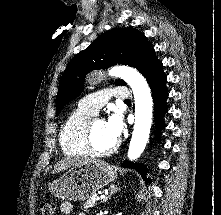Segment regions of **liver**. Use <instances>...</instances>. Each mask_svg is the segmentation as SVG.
<instances>
[{
    "label": "liver",
    "mask_w": 221,
    "mask_h": 215,
    "mask_svg": "<svg viewBox=\"0 0 221 215\" xmlns=\"http://www.w3.org/2000/svg\"><path fill=\"white\" fill-rule=\"evenodd\" d=\"M91 160L92 159H89V158H85V159L71 158V157L64 158L60 162L55 164L53 174L58 173L62 170L70 168V167L81 166V165H83V164H85V163H87Z\"/></svg>",
    "instance_id": "obj_1"
}]
</instances>
